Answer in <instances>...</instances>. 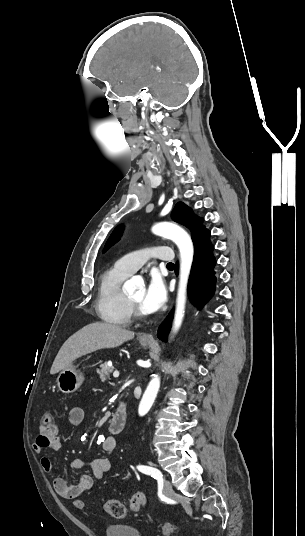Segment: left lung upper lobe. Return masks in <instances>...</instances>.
Masks as SVG:
<instances>
[{
  "instance_id": "1",
  "label": "left lung upper lobe",
  "mask_w": 305,
  "mask_h": 536,
  "mask_svg": "<svg viewBox=\"0 0 305 536\" xmlns=\"http://www.w3.org/2000/svg\"><path fill=\"white\" fill-rule=\"evenodd\" d=\"M171 217L175 222H178L190 229L193 242L205 231H207V229L202 225L203 219L196 216L192 212L191 208L182 202L176 204L172 211ZM122 229V226L115 228L104 247V252L120 239Z\"/></svg>"
}]
</instances>
